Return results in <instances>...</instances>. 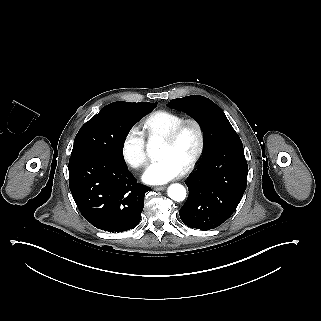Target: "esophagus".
Here are the masks:
<instances>
[{
	"mask_svg": "<svg viewBox=\"0 0 321 321\" xmlns=\"http://www.w3.org/2000/svg\"><path fill=\"white\" fill-rule=\"evenodd\" d=\"M165 189H166V186H158V187L154 188L155 191H162V190H165Z\"/></svg>",
	"mask_w": 321,
	"mask_h": 321,
	"instance_id": "34e87169",
	"label": "esophagus"
}]
</instances>
